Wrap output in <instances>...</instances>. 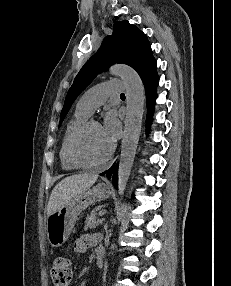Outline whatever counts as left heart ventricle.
I'll return each instance as SVG.
<instances>
[{
    "mask_svg": "<svg viewBox=\"0 0 231 286\" xmlns=\"http://www.w3.org/2000/svg\"><path fill=\"white\" fill-rule=\"evenodd\" d=\"M111 146L112 142L107 138L102 127L92 125L80 140L78 151L83 158L96 161L105 157Z\"/></svg>",
    "mask_w": 231,
    "mask_h": 286,
    "instance_id": "left-heart-ventricle-1",
    "label": "left heart ventricle"
}]
</instances>
